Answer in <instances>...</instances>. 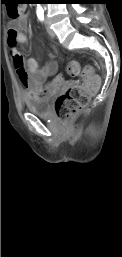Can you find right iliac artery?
Returning <instances> with one entry per match:
<instances>
[{"label": "right iliac artery", "mask_w": 122, "mask_h": 257, "mask_svg": "<svg viewBox=\"0 0 122 257\" xmlns=\"http://www.w3.org/2000/svg\"><path fill=\"white\" fill-rule=\"evenodd\" d=\"M37 17L40 21H43L44 20V13L43 12H38L37 13Z\"/></svg>", "instance_id": "obj_1"}]
</instances>
